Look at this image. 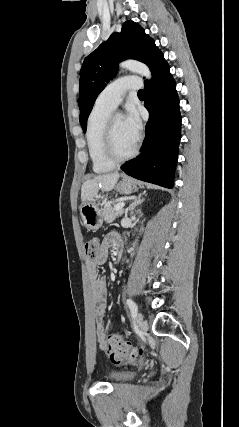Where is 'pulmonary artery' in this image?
<instances>
[{"label":"pulmonary artery","instance_id":"1","mask_svg":"<svg viewBox=\"0 0 239 427\" xmlns=\"http://www.w3.org/2000/svg\"><path fill=\"white\" fill-rule=\"evenodd\" d=\"M141 80L137 76H123L110 83L97 97L95 106L113 111L121 102L127 91L141 88Z\"/></svg>","mask_w":239,"mask_h":427}]
</instances>
